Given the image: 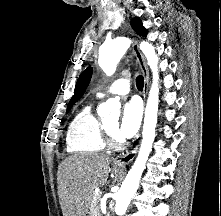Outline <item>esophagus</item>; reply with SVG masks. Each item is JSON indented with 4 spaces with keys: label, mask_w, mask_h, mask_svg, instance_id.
<instances>
[{
    "label": "esophagus",
    "mask_w": 221,
    "mask_h": 216,
    "mask_svg": "<svg viewBox=\"0 0 221 216\" xmlns=\"http://www.w3.org/2000/svg\"><path fill=\"white\" fill-rule=\"evenodd\" d=\"M133 51L136 56L137 62L139 64L140 70L144 76L143 99L145 100L147 93H148V88H149V71H148V67L146 64V60L139 49V44L137 40L134 41L133 43ZM137 151H138V146L135 147L132 151L116 158L115 164L119 166H126L130 164L135 158Z\"/></svg>",
    "instance_id": "1"
}]
</instances>
